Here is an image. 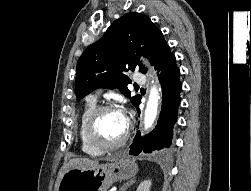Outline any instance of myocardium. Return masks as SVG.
I'll return each instance as SVG.
<instances>
[{
	"instance_id": "obj_1",
	"label": "myocardium",
	"mask_w": 251,
	"mask_h": 191,
	"mask_svg": "<svg viewBox=\"0 0 251 191\" xmlns=\"http://www.w3.org/2000/svg\"><path fill=\"white\" fill-rule=\"evenodd\" d=\"M107 111H116V109L109 104L97 106L90 114L85 125V138L87 143L93 148L103 152L116 150L123 146L129 138L131 129L129 120L125 119L126 127L120 140L112 144L101 141L98 136V124L102 115Z\"/></svg>"
}]
</instances>
